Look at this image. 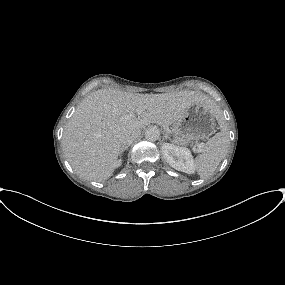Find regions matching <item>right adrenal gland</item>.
I'll return each mask as SVG.
<instances>
[{
    "instance_id": "obj_1",
    "label": "right adrenal gland",
    "mask_w": 285,
    "mask_h": 285,
    "mask_svg": "<svg viewBox=\"0 0 285 285\" xmlns=\"http://www.w3.org/2000/svg\"><path fill=\"white\" fill-rule=\"evenodd\" d=\"M129 146H123L120 150V154H122L126 149H128Z\"/></svg>"
}]
</instances>
